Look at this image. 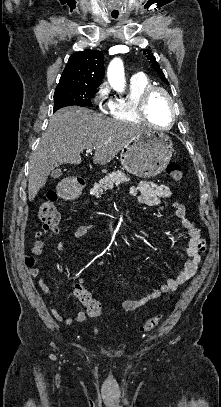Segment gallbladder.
<instances>
[{
    "mask_svg": "<svg viewBox=\"0 0 221 407\" xmlns=\"http://www.w3.org/2000/svg\"><path fill=\"white\" fill-rule=\"evenodd\" d=\"M61 174H62V170L57 168V169H54L53 171H51L50 176L52 178H58Z\"/></svg>",
    "mask_w": 221,
    "mask_h": 407,
    "instance_id": "bac80fb5",
    "label": "gallbladder"
}]
</instances>
